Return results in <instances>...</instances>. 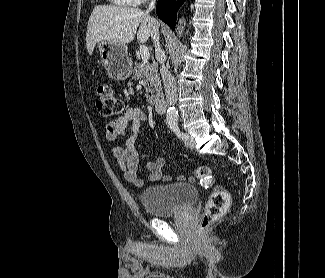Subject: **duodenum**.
<instances>
[{"instance_id": "duodenum-1", "label": "duodenum", "mask_w": 325, "mask_h": 278, "mask_svg": "<svg viewBox=\"0 0 325 278\" xmlns=\"http://www.w3.org/2000/svg\"><path fill=\"white\" fill-rule=\"evenodd\" d=\"M154 108L158 113H164L166 110V101L162 98H159L154 101Z\"/></svg>"}]
</instances>
